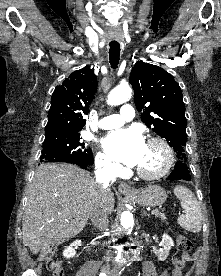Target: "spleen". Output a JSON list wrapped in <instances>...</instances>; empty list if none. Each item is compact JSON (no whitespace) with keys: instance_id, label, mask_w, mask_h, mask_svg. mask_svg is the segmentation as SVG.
Instances as JSON below:
<instances>
[{"instance_id":"1","label":"spleen","mask_w":221,"mask_h":276,"mask_svg":"<svg viewBox=\"0 0 221 276\" xmlns=\"http://www.w3.org/2000/svg\"><path fill=\"white\" fill-rule=\"evenodd\" d=\"M173 192L185 210V214L178 217V224L192 233L200 232L202 229V212L194 193L181 185L175 186Z\"/></svg>"}]
</instances>
